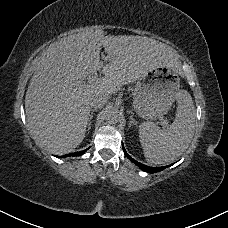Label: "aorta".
<instances>
[{
    "label": "aorta",
    "instance_id": "aorta-1",
    "mask_svg": "<svg viewBox=\"0 0 228 228\" xmlns=\"http://www.w3.org/2000/svg\"><path fill=\"white\" fill-rule=\"evenodd\" d=\"M106 121L109 124L117 123L119 121V113H118V110L115 109V108L108 109V111L106 113Z\"/></svg>",
    "mask_w": 228,
    "mask_h": 228
}]
</instances>
